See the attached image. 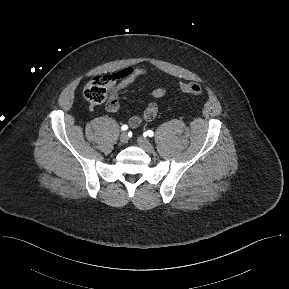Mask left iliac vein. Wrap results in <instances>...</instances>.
<instances>
[{
    "label": "left iliac vein",
    "instance_id": "obj_1",
    "mask_svg": "<svg viewBox=\"0 0 289 289\" xmlns=\"http://www.w3.org/2000/svg\"><path fill=\"white\" fill-rule=\"evenodd\" d=\"M138 145L146 152L148 153H152L154 151V147L153 145L149 142L148 139H146L145 137H138L137 139Z\"/></svg>",
    "mask_w": 289,
    "mask_h": 289
}]
</instances>
